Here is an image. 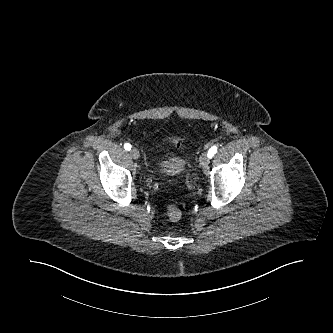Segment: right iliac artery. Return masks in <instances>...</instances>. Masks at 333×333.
Wrapping results in <instances>:
<instances>
[{
	"mask_svg": "<svg viewBox=\"0 0 333 333\" xmlns=\"http://www.w3.org/2000/svg\"><path fill=\"white\" fill-rule=\"evenodd\" d=\"M131 145L129 144V143H125L124 144V148H125V150H127V151H129V150H131Z\"/></svg>",
	"mask_w": 333,
	"mask_h": 333,
	"instance_id": "82829eb1",
	"label": "right iliac artery"
}]
</instances>
